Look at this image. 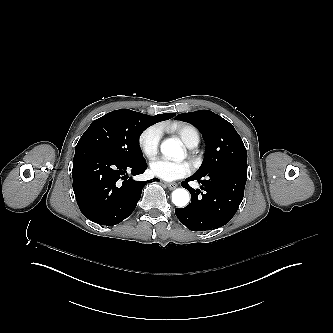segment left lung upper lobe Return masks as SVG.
Returning a JSON list of instances; mask_svg holds the SVG:
<instances>
[{"instance_id":"left-lung-upper-lobe-1","label":"left lung upper lobe","mask_w":333,"mask_h":333,"mask_svg":"<svg viewBox=\"0 0 333 333\" xmlns=\"http://www.w3.org/2000/svg\"><path fill=\"white\" fill-rule=\"evenodd\" d=\"M175 119L195 125L205 140V157L194 176L207 178L226 167H247V153L241 137L221 116L209 110H199L179 114Z\"/></svg>"}]
</instances>
